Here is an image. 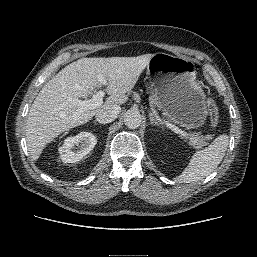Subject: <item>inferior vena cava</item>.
<instances>
[{"instance_id": "602c4592", "label": "inferior vena cava", "mask_w": 257, "mask_h": 257, "mask_svg": "<svg viewBox=\"0 0 257 257\" xmlns=\"http://www.w3.org/2000/svg\"><path fill=\"white\" fill-rule=\"evenodd\" d=\"M121 111L119 105H111L107 108L99 109L96 112L95 118L101 124H106L114 121Z\"/></svg>"}]
</instances>
